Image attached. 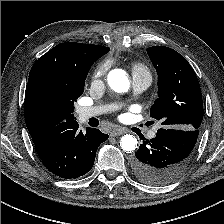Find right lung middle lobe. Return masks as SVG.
Wrapping results in <instances>:
<instances>
[{
    "mask_svg": "<svg viewBox=\"0 0 224 224\" xmlns=\"http://www.w3.org/2000/svg\"><path fill=\"white\" fill-rule=\"evenodd\" d=\"M88 71L72 76L46 72L29 79L25 91V119L34 126L75 121L74 102L84 92Z\"/></svg>",
    "mask_w": 224,
    "mask_h": 224,
    "instance_id": "obj_1",
    "label": "right lung middle lobe"
}]
</instances>
